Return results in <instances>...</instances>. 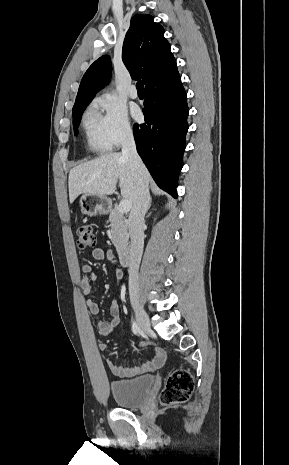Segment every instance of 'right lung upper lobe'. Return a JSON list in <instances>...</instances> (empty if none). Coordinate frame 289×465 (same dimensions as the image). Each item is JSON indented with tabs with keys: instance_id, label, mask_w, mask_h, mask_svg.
I'll return each mask as SVG.
<instances>
[{
	"instance_id": "obj_1",
	"label": "right lung upper lobe",
	"mask_w": 289,
	"mask_h": 465,
	"mask_svg": "<svg viewBox=\"0 0 289 465\" xmlns=\"http://www.w3.org/2000/svg\"><path fill=\"white\" fill-rule=\"evenodd\" d=\"M153 16L136 14L131 18L123 43L122 60L131 77L142 78L145 88L169 82L179 76L176 60L164 38L163 27ZM109 56L97 59L82 78L76 102L91 100L110 77Z\"/></svg>"
}]
</instances>
